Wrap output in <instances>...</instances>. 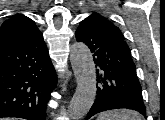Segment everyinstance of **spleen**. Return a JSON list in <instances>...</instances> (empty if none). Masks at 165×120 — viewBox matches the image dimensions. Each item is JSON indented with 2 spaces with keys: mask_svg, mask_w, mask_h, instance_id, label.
<instances>
[{
  "mask_svg": "<svg viewBox=\"0 0 165 120\" xmlns=\"http://www.w3.org/2000/svg\"><path fill=\"white\" fill-rule=\"evenodd\" d=\"M97 120H141V117L135 111L120 109L103 112Z\"/></svg>",
  "mask_w": 165,
  "mask_h": 120,
  "instance_id": "3e777b00",
  "label": "spleen"
}]
</instances>
